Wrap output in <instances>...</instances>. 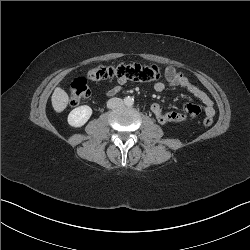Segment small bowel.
Returning <instances> with one entry per match:
<instances>
[{"mask_svg":"<svg viewBox=\"0 0 250 250\" xmlns=\"http://www.w3.org/2000/svg\"><path fill=\"white\" fill-rule=\"evenodd\" d=\"M164 75L166 83L169 86L183 88L197 98L202 103L207 116L213 117L215 115V108L211 98L203 90L194 85L182 72L172 66H168L165 69ZM125 84L126 80L118 79L116 85L109 89L107 93L109 95L115 94ZM165 86L164 82L158 81L154 84V89L160 93L165 89ZM150 109L157 121L163 125L191 121L199 116L202 111L198 105L193 103L185 104L182 112H164L158 103H153Z\"/></svg>","mask_w":250,"mask_h":250,"instance_id":"obj_1","label":"small bowel"}]
</instances>
